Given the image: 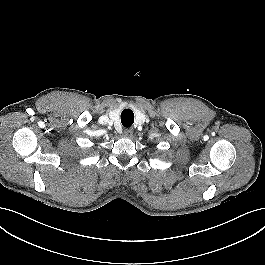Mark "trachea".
Segmentation results:
<instances>
[{
    "label": "trachea",
    "mask_w": 265,
    "mask_h": 265,
    "mask_svg": "<svg viewBox=\"0 0 265 265\" xmlns=\"http://www.w3.org/2000/svg\"><path fill=\"white\" fill-rule=\"evenodd\" d=\"M134 122V113L131 109H124L121 113V123L124 127H131Z\"/></svg>",
    "instance_id": "3493384b"
}]
</instances>
